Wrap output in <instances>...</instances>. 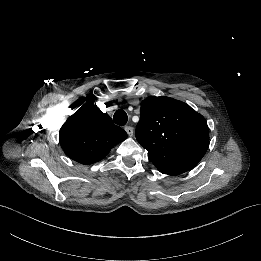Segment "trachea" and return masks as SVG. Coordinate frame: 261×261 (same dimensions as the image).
Instances as JSON below:
<instances>
[{"instance_id": "3493384b", "label": "trachea", "mask_w": 261, "mask_h": 261, "mask_svg": "<svg viewBox=\"0 0 261 261\" xmlns=\"http://www.w3.org/2000/svg\"><path fill=\"white\" fill-rule=\"evenodd\" d=\"M113 120L119 126H124L128 121V115L124 110H117L113 116Z\"/></svg>"}]
</instances>
